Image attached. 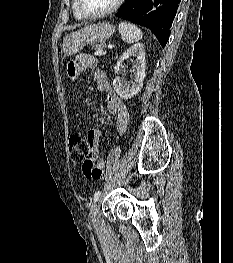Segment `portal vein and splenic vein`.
Listing matches in <instances>:
<instances>
[{"instance_id":"portal-vein-and-splenic-vein-1","label":"portal vein and splenic vein","mask_w":233,"mask_h":263,"mask_svg":"<svg viewBox=\"0 0 233 263\" xmlns=\"http://www.w3.org/2000/svg\"><path fill=\"white\" fill-rule=\"evenodd\" d=\"M96 56H101V55H105L106 54V51H103V50H98L94 53Z\"/></svg>"}]
</instances>
